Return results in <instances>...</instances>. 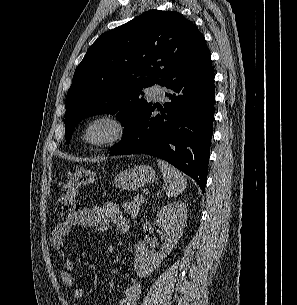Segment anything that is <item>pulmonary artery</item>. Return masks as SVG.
<instances>
[{
	"label": "pulmonary artery",
	"mask_w": 297,
	"mask_h": 305,
	"mask_svg": "<svg viewBox=\"0 0 297 305\" xmlns=\"http://www.w3.org/2000/svg\"><path fill=\"white\" fill-rule=\"evenodd\" d=\"M147 91L151 97H162L164 93V88L159 84H154L150 86Z\"/></svg>",
	"instance_id": "1"
}]
</instances>
